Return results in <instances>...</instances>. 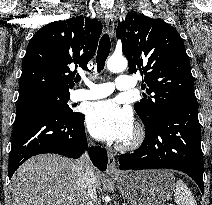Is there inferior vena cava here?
Masks as SVG:
<instances>
[{"mask_svg":"<svg viewBox=\"0 0 212 205\" xmlns=\"http://www.w3.org/2000/svg\"><path fill=\"white\" fill-rule=\"evenodd\" d=\"M75 169L78 205H98L95 174L87 153L77 160Z\"/></svg>","mask_w":212,"mask_h":205,"instance_id":"1","label":"inferior vena cava"}]
</instances>
